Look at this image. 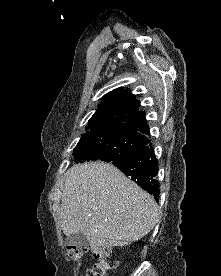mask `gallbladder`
<instances>
[{"label":"gallbladder","mask_w":221,"mask_h":276,"mask_svg":"<svg viewBox=\"0 0 221 276\" xmlns=\"http://www.w3.org/2000/svg\"><path fill=\"white\" fill-rule=\"evenodd\" d=\"M68 246L88 247L89 241L84 233L78 232L73 233L66 238L65 241Z\"/></svg>","instance_id":"1"}]
</instances>
